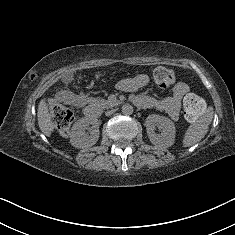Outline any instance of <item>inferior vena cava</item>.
<instances>
[{"instance_id": "602c4592", "label": "inferior vena cava", "mask_w": 235, "mask_h": 235, "mask_svg": "<svg viewBox=\"0 0 235 235\" xmlns=\"http://www.w3.org/2000/svg\"><path fill=\"white\" fill-rule=\"evenodd\" d=\"M113 113V110L107 111L106 115H111Z\"/></svg>"}]
</instances>
